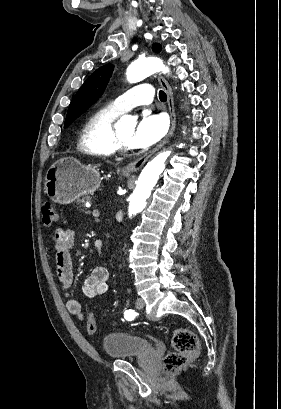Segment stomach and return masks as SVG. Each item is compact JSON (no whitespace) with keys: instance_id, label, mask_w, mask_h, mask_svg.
I'll list each match as a JSON object with an SVG mask.
<instances>
[{"instance_id":"stomach-1","label":"stomach","mask_w":281,"mask_h":409,"mask_svg":"<svg viewBox=\"0 0 281 409\" xmlns=\"http://www.w3.org/2000/svg\"><path fill=\"white\" fill-rule=\"evenodd\" d=\"M101 184L97 166L82 164L74 156L58 158L45 176V192L59 205H69L83 194H93Z\"/></svg>"}]
</instances>
